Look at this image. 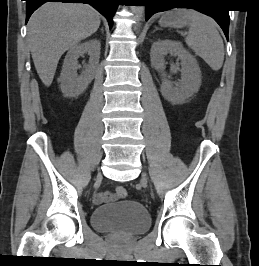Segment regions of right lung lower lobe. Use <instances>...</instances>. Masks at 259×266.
Returning a JSON list of instances; mask_svg holds the SVG:
<instances>
[{
    "label": "right lung lower lobe",
    "instance_id": "1",
    "mask_svg": "<svg viewBox=\"0 0 259 266\" xmlns=\"http://www.w3.org/2000/svg\"><path fill=\"white\" fill-rule=\"evenodd\" d=\"M26 4V22L31 14L45 2H62V3H84L90 4L96 8L101 14H103L110 27H112V17L117 9L119 0H25Z\"/></svg>",
    "mask_w": 259,
    "mask_h": 266
}]
</instances>
